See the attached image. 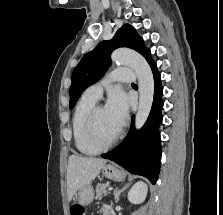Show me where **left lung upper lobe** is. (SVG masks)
<instances>
[{
	"instance_id": "1",
	"label": "left lung upper lobe",
	"mask_w": 223,
	"mask_h": 215,
	"mask_svg": "<svg viewBox=\"0 0 223 215\" xmlns=\"http://www.w3.org/2000/svg\"><path fill=\"white\" fill-rule=\"evenodd\" d=\"M119 47H128L142 54L149 65L155 63L151 59L150 50L143 43L142 38L129 24L123 25L108 41L99 43L92 51L87 53L76 66L72 74L70 87L69 108H73L82 92L97 82L106 72L111 63V52Z\"/></svg>"
}]
</instances>
